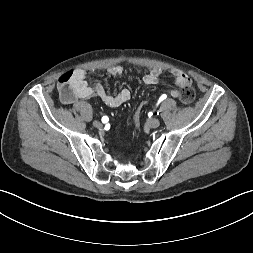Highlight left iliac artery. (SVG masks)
I'll return each mask as SVG.
<instances>
[{"label":"left iliac artery","instance_id":"obj_1","mask_svg":"<svg viewBox=\"0 0 253 253\" xmlns=\"http://www.w3.org/2000/svg\"><path fill=\"white\" fill-rule=\"evenodd\" d=\"M164 99H166V95L163 94L160 98H159V102L163 101Z\"/></svg>","mask_w":253,"mask_h":253}]
</instances>
